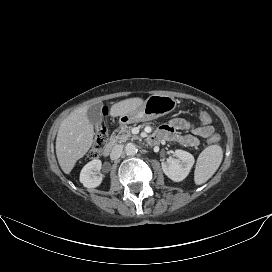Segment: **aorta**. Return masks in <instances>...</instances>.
Listing matches in <instances>:
<instances>
[{
  "label": "aorta",
  "mask_w": 272,
  "mask_h": 272,
  "mask_svg": "<svg viewBox=\"0 0 272 272\" xmlns=\"http://www.w3.org/2000/svg\"><path fill=\"white\" fill-rule=\"evenodd\" d=\"M137 151H138V149H137L135 144L128 143V144L125 145V153L127 155L133 156V155H135L137 153Z\"/></svg>",
  "instance_id": "762f6f07"
}]
</instances>
